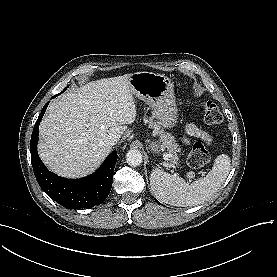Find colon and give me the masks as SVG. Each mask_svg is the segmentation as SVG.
<instances>
[{
	"label": "colon",
	"mask_w": 277,
	"mask_h": 277,
	"mask_svg": "<svg viewBox=\"0 0 277 277\" xmlns=\"http://www.w3.org/2000/svg\"><path fill=\"white\" fill-rule=\"evenodd\" d=\"M202 110L206 124L219 125L222 122V114L214 102L206 100L203 103ZM209 160L210 154L207 149V142L204 138H201L193 144L192 149L188 154V165L190 168L197 170L204 167Z\"/></svg>",
	"instance_id": "obj_1"
}]
</instances>
